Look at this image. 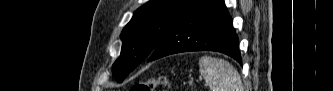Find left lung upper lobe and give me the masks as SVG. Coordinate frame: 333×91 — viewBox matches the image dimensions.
<instances>
[{
  "instance_id": "5c2ea615",
  "label": "left lung upper lobe",
  "mask_w": 333,
  "mask_h": 91,
  "mask_svg": "<svg viewBox=\"0 0 333 91\" xmlns=\"http://www.w3.org/2000/svg\"><path fill=\"white\" fill-rule=\"evenodd\" d=\"M197 0H150L140 7L121 33L120 57L112 67L121 83L137 65L148 58L175 23Z\"/></svg>"
}]
</instances>
